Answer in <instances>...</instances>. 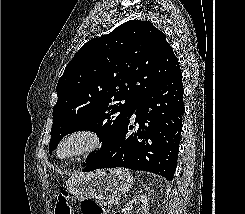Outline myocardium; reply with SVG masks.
Here are the masks:
<instances>
[{"label":"myocardium","instance_id":"f54148a6","mask_svg":"<svg viewBox=\"0 0 245 214\" xmlns=\"http://www.w3.org/2000/svg\"><path fill=\"white\" fill-rule=\"evenodd\" d=\"M81 141V146L69 154H63L62 149L72 141ZM103 144L101 135L90 128H78L68 132L64 135L56 146V157L64 160L71 161L83 157H87L97 151Z\"/></svg>","mask_w":245,"mask_h":214}]
</instances>
